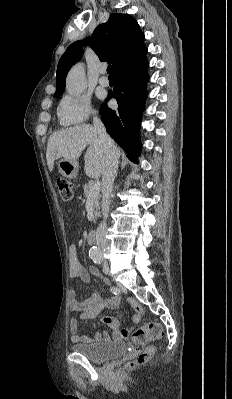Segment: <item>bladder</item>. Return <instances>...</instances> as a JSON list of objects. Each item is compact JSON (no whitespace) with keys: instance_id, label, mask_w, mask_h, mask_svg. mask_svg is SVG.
I'll return each mask as SVG.
<instances>
[{"instance_id":"31cf9c89","label":"bladder","mask_w":232,"mask_h":399,"mask_svg":"<svg viewBox=\"0 0 232 399\" xmlns=\"http://www.w3.org/2000/svg\"><path fill=\"white\" fill-rule=\"evenodd\" d=\"M72 350L93 362H104L119 358L127 352L123 341L75 343Z\"/></svg>"}]
</instances>
